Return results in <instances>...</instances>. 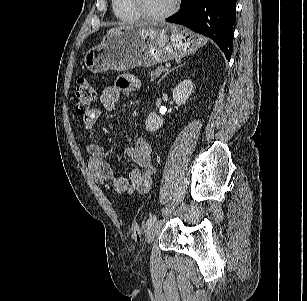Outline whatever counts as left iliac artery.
<instances>
[{"mask_svg": "<svg viewBox=\"0 0 307 301\" xmlns=\"http://www.w3.org/2000/svg\"><path fill=\"white\" fill-rule=\"evenodd\" d=\"M156 220H157L156 216H152V217H150V218L147 220L146 225H147L148 227H150V226H152V225L156 222Z\"/></svg>", "mask_w": 307, "mask_h": 301, "instance_id": "obj_1", "label": "left iliac artery"}]
</instances>
